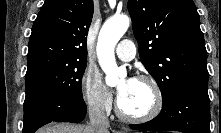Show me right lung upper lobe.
Returning a JSON list of instances; mask_svg holds the SVG:
<instances>
[{
	"instance_id": "right-lung-upper-lobe-1",
	"label": "right lung upper lobe",
	"mask_w": 221,
	"mask_h": 133,
	"mask_svg": "<svg viewBox=\"0 0 221 133\" xmlns=\"http://www.w3.org/2000/svg\"><path fill=\"white\" fill-rule=\"evenodd\" d=\"M93 0H46L32 26L26 75L46 67L85 62Z\"/></svg>"
}]
</instances>
